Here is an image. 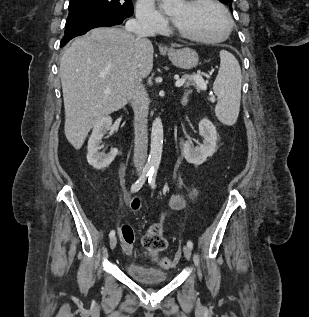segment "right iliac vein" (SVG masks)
<instances>
[{"instance_id": "63e3f726", "label": "right iliac vein", "mask_w": 309, "mask_h": 317, "mask_svg": "<svg viewBox=\"0 0 309 317\" xmlns=\"http://www.w3.org/2000/svg\"><path fill=\"white\" fill-rule=\"evenodd\" d=\"M117 245V238L114 236L110 239V248L113 250Z\"/></svg>"}]
</instances>
